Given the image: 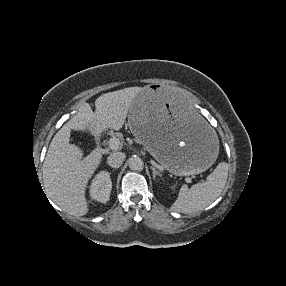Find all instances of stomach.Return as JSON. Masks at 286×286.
I'll use <instances>...</instances> for the list:
<instances>
[{
	"mask_svg": "<svg viewBox=\"0 0 286 286\" xmlns=\"http://www.w3.org/2000/svg\"><path fill=\"white\" fill-rule=\"evenodd\" d=\"M128 126L151 155L175 175L199 174L216 161V130L172 87L155 84L141 88L129 109Z\"/></svg>",
	"mask_w": 286,
	"mask_h": 286,
	"instance_id": "0dacf381",
	"label": "stomach"
}]
</instances>
